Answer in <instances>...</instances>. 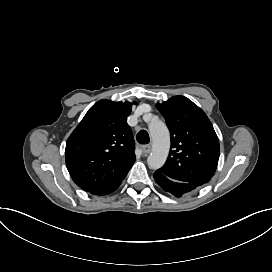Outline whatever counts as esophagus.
<instances>
[{
	"label": "esophagus",
	"instance_id": "obj_1",
	"mask_svg": "<svg viewBox=\"0 0 272 272\" xmlns=\"http://www.w3.org/2000/svg\"><path fill=\"white\" fill-rule=\"evenodd\" d=\"M142 151L146 154L150 153L151 152V146L150 145H143L141 147Z\"/></svg>",
	"mask_w": 272,
	"mask_h": 272
}]
</instances>
